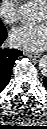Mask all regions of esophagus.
<instances>
[{
    "label": "esophagus",
    "instance_id": "esophagus-1",
    "mask_svg": "<svg viewBox=\"0 0 47 129\" xmlns=\"http://www.w3.org/2000/svg\"><path fill=\"white\" fill-rule=\"evenodd\" d=\"M24 54L28 55L30 57H33V58H39L40 57V54H38V53L24 52Z\"/></svg>",
    "mask_w": 47,
    "mask_h": 129
}]
</instances>
